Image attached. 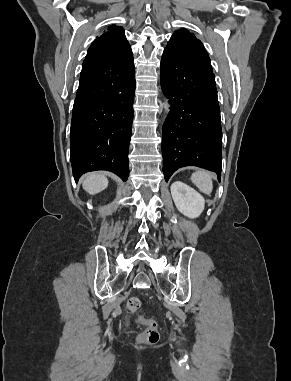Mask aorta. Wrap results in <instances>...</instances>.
I'll return each instance as SVG.
<instances>
[{
	"instance_id": "762f6f07",
	"label": "aorta",
	"mask_w": 291,
	"mask_h": 381,
	"mask_svg": "<svg viewBox=\"0 0 291 381\" xmlns=\"http://www.w3.org/2000/svg\"><path fill=\"white\" fill-rule=\"evenodd\" d=\"M164 109H165V113L168 114L170 111V105L168 103V100H165L164 102Z\"/></svg>"
}]
</instances>
